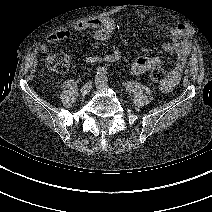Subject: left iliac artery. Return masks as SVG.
Instances as JSON below:
<instances>
[{"label": "left iliac artery", "instance_id": "1", "mask_svg": "<svg viewBox=\"0 0 212 212\" xmlns=\"http://www.w3.org/2000/svg\"><path fill=\"white\" fill-rule=\"evenodd\" d=\"M101 79H102L104 82H107V81H108V79H107L106 76L102 77Z\"/></svg>", "mask_w": 212, "mask_h": 212}]
</instances>
